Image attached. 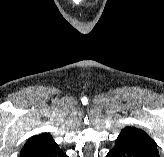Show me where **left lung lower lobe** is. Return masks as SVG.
<instances>
[{
    "mask_svg": "<svg viewBox=\"0 0 164 157\" xmlns=\"http://www.w3.org/2000/svg\"><path fill=\"white\" fill-rule=\"evenodd\" d=\"M106 157H160L157 148L136 137L119 135Z\"/></svg>",
    "mask_w": 164,
    "mask_h": 157,
    "instance_id": "0a47b994",
    "label": "left lung lower lobe"
}]
</instances>
